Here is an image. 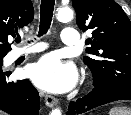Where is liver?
I'll use <instances>...</instances> for the list:
<instances>
[{
  "instance_id": "liver-1",
  "label": "liver",
  "mask_w": 131,
  "mask_h": 115,
  "mask_svg": "<svg viewBox=\"0 0 131 115\" xmlns=\"http://www.w3.org/2000/svg\"><path fill=\"white\" fill-rule=\"evenodd\" d=\"M0 115H4L3 112L0 111Z\"/></svg>"
}]
</instances>
